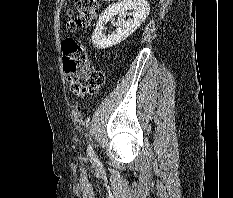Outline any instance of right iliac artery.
Segmentation results:
<instances>
[{
    "mask_svg": "<svg viewBox=\"0 0 233 198\" xmlns=\"http://www.w3.org/2000/svg\"><path fill=\"white\" fill-rule=\"evenodd\" d=\"M88 153H89L90 157H91L94 161H96V157H95L94 151H93V149L91 148V146L88 147Z\"/></svg>",
    "mask_w": 233,
    "mask_h": 198,
    "instance_id": "obj_1",
    "label": "right iliac artery"
}]
</instances>
